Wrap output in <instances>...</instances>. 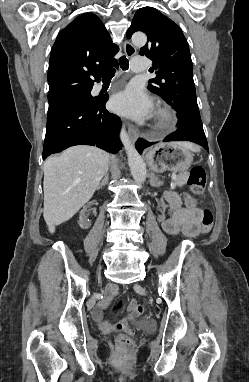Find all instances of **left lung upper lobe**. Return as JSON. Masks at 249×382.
Listing matches in <instances>:
<instances>
[{
  "label": "left lung upper lobe",
  "mask_w": 249,
  "mask_h": 382,
  "mask_svg": "<svg viewBox=\"0 0 249 382\" xmlns=\"http://www.w3.org/2000/svg\"><path fill=\"white\" fill-rule=\"evenodd\" d=\"M144 32L148 41L139 54L153 61L148 89L162 97L178 116H200L193 80L192 60L187 40L177 24L152 7L140 8L127 31Z\"/></svg>",
  "instance_id": "5c2ea615"
}]
</instances>
